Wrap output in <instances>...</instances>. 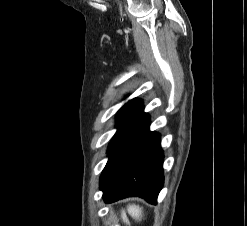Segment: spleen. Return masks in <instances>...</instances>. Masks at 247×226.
I'll return each instance as SVG.
<instances>
[{
	"label": "spleen",
	"instance_id": "1",
	"mask_svg": "<svg viewBox=\"0 0 247 226\" xmlns=\"http://www.w3.org/2000/svg\"><path fill=\"white\" fill-rule=\"evenodd\" d=\"M127 211L136 220H140L142 217V208L138 205H129ZM122 219L125 223H129L124 210H122Z\"/></svg>",
	"mask_w": 247,
	"mask_h": 226
}]
</instances>
